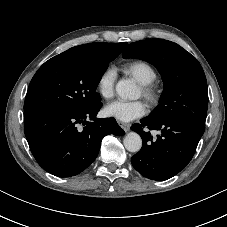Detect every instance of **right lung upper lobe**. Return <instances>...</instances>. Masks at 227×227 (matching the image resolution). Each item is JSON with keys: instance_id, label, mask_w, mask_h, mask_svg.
Instances as JSON below:
<instances>
[{"instance_id": "1", "label": "right lung upper lobe", "mask_w": 227, "mask_h": 227, "mask_svg": "<svg viewBox=\"0 0 227 227\" xmlns=\"http://www.w3.org/2000/svg\"><path fill=\"white\" fill-rule=\"evenodd\" d=\"M116 47L122 52L123 49L127 46V43H115ZM109 43H89L84 45H79L73 48H70L68 51L81 53L90 56H97L105 53L109 49Z\"/></svg>"}]
</instances>
